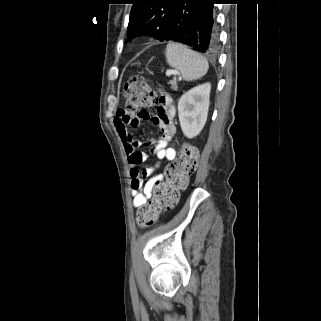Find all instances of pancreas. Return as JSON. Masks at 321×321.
<instances>
[{
  "label": "pancreas",
  "instance_id": "cf45deb5",
  "mask_svg": "<svg viewBox=\"0 0 321 321\" xmlns=\"http://www.w3.org/2000/svg\"><path fill=\"white\" fill-rule=\"evenodd\" d=\"M169 84L171 85V88L173 90H175V91L177 90V82H176V80L170 81Z\"/></svg>",
  "mask_w": 321,
  "mask_h": 321
}]
</instances>
